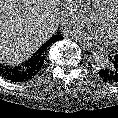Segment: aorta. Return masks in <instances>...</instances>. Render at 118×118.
<instances>
[{
	"label": "aorta",
	"instance_id": "762f6f07",
	"mask_svg": "<svg viewBox=\"0 0 118 118\" xmlns=\"http://www.w3.org/2000/svg\"><path fill=\"white\" fill-rule=\"evenodd\" d=\"M90 63L93 68L103 69L108 63V58L103 52L97 51L91 55Z\"/></svg>",
	"mask_w": 118,
	"mask_h": 118
}]
</instances>
